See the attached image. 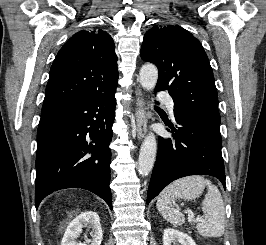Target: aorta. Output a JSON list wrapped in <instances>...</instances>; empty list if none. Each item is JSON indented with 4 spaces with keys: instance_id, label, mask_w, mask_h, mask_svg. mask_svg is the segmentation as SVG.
Masks as SVG:
<instances>
[{
    "instance_id": "aorta-1",
    "label": "aorta",
    "mask_w": 266,
    "mask_h": 245,
    "mask_svg": "<svg viewBox=\"0 0 266 245\" xmlns=\"http://www.w3.org/2000/svg\"><path fill=\"white\" fill-rule=\"evenodd\" d=\"M158 78V68L155 64H143L139 70V82L146 90H153ZM157 151V141L153 133L145 137L139 153V175L146 177L153 169Z\"/></svg>"
}]
</instances>
